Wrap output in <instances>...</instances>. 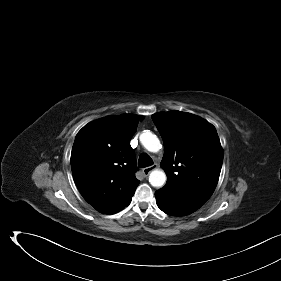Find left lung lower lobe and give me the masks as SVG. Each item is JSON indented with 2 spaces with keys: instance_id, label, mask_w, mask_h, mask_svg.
<instances>
[{
  "instance_id": "left-lung-lower-lobe-1",
  "label": "left lung lower lobe",
  "mask_w": 281,
  "mask_h": 281,
  "mask_svg": "<svg viewBox=\"0 0 281 281\" xmlns=\"http://www.w3.org/2000/svg\"><path fill=\"white\" fill-rule=\"evenodd\" d=\"M157 206L166 214L186 216L198 210L208 198L191 190L176 189L165 186L155 192Z\"/></svg>"
}]
</instances>
